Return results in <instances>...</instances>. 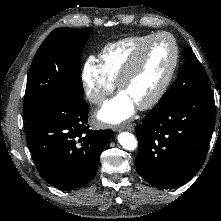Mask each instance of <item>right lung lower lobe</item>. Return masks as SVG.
<instances>
[{
    "instance_id": "obj_1",
    "label": "right lung lower lobe",
    "mask_w": 221,
    "mask_h": 221,
    "mask_svg": "<svg viewBox=\"0 0 221 221\" xmlns=\"http://www.w3.org/2000/svg\"><path fill=\"white\" fill-rule=\"evenodd\" d=\"M83 97L64 96L41 106L24 123L40 176L60 190L86 185L96 174L112 130H89Z\"/></svg>"
}]
</instances>
